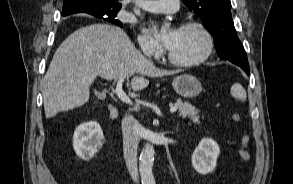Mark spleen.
Masks as SVG:
<instances>
[{"label": "spleen", "instance_id": "1", "mask_svg": "<svg viewBox=\"0 0 293 184\" xmlns=\"http://www.w3.org/2000/svg\"><path fill=\"white\" fill-rule=\"evenodd\" d=\"M231 95L240 101H245L247 98L246 91L241 84L235 83L231 87Z\"/></svg>", "mask_w": 293, "mask_h": 184}]
</instances>
